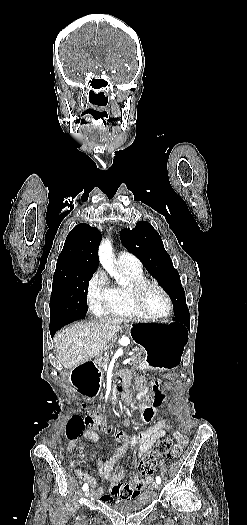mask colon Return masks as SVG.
I'll return each instance as SVG.
<instances>
[{
    "label": "colon",
    "mask_w": 247,
    "mask_h": 525,
    "mask_svg": "<svg viewBox=\"0 0 247 525\" xmlns=\"http://www.w3.org/2000/svg\"><path fill=\"white\" fill-rule=\"evenodd\" d=\"M144 386L146 389L151 390L155 389L156 392L153 393L152 398L154 402L146 401L143 403L142 408L145 413L141 414V420L138 418H126V419H110V418H100V417H89L86 416H75L72 418L69 427V437L70 438H81L83 436V426L89 428H94L96 432H103L118 430V427L115 426H126V427H138L141 429H146L148 424H152V420L156 418L154 412L160 410L163 400L166 395L167 387L162 382V378L151 380L148 379L145 381ZM159 389V390H158ZM172 448V440L170 438L163 439L158 442L155 449L148 454H146L138 463L137 472L139 477H148L153 473V470L157 463L163 460L166 454Z\"/></svg>",
    "instance_id": "1"
}]
</instances>
